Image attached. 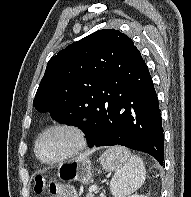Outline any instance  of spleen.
<instances>
[{"mask_svg":"<svg viewBox=\"0 0 191 197\" xmlns=\"http://www.w3.org/2000/svg\"><path fill=\"white\" fill-rule=\"evenodd\" d=\"M107 152L110 158L119 163L110 184L111 192L115 197H129L144 184V163L140 157L132 155L122 146L112 147Z\"/></svg>","mask_w":191,"mask_h":197,"instance_id":"1","label":"spleen"}]
</instances>
